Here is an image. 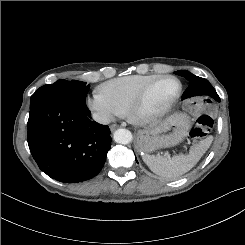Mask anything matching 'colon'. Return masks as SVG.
<instances>
[{"instance_id":"1","label":"colon","mask_w":245,"mask_h":245,"mask_svg":"<svg viewBox=\"0 0 245 245\" xmlns=\"http://www.w3.org/2000/svg\"><path fill=\"white\" fill-rule=\"evenodd\" d=\"M212 127L213 119L208 113L198 115L197 122L190 131V138L193 141H198L204 138L210 132Z\"/></svg>"}]
</instances>
